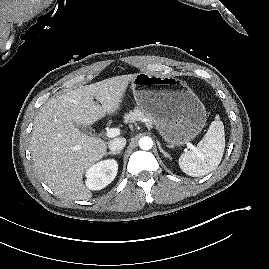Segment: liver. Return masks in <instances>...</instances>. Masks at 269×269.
Wrapping results in <instances>:
<instances>
[{"instance_id":"6515ba94","label":"liver","mask_w":269,"mask_h":269,"mask_svg":"<svg viewBox=\"0 0 269 269\" xmlns=\"http://www.w3.org/2000/svg\"><path fill=\"white\" fill-rule=\"evenodd\" d=\"M136 75L80 86L49 99L37 113L31 139L32 160L37 174L56 195L71 200L92 197L83 175L106 155L107 143L87 136L75 124L90 126L107 114H116Z\"/></svg>"}]
</instances>
